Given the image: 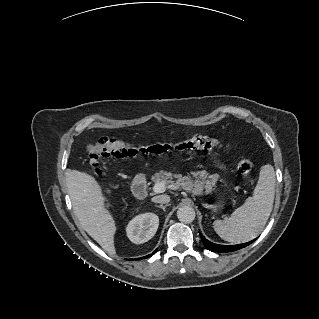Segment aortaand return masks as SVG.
<instances>
[{
	"label": "aorta",
	"instance_id": "762f6f07",
	"mask_svg": "<svg viewBox=\"0 0 319 319\" xmlns=\"http://www.w3.org/2000/svg\"><path fill=\"white\" fill-rule=\"evenodd\" d=\"M179 221L183 223H191L196 217L195 210L191 206H181L177 211Z\"/></svg>",
	"mask_w": 319,
	"mask_h": 319
}]
</instances>
